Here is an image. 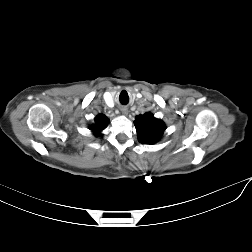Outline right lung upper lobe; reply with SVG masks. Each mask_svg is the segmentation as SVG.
<instances>
[{
    "label": "right lung upper lobe",
    "mask_w": 252,
    "mask_h": 252,
    "mask_svg": "<svg viewBox=\"0 0 252 252\" xmlns=\"http://www.w3.org/2000/svg\"><path fill=\"white\" fill-rule=\"evenodd\" d=\"M94 120H95V124L90 126V130L96 133V135H101L100 132L103 129H105V127L107 126L109 122V119L105 115L99 114L95 117Z\"/></svg>",
    "instance_id": "cb5924a9"
}]
</instances>
